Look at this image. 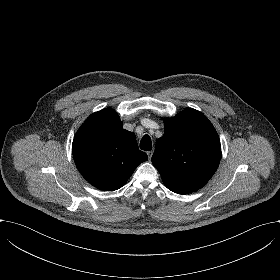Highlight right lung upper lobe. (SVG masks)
Wrapping results in <instances>:
<instances>
[{
	"instance_id": "1",
	"label": "right lung upper lobe",
	"mask_w": 280,
	"mask_h": 280,
	"mask_svg": "<svg viewBox=\"0 0 280 280\" xmlns=\"http://www.w3.org/2000/svg\"><path fill=\"white\" fill-rule=\"evenodd\" d=\"M72 153L82 176L106 191L125 185L136 167L147 160L135 134L123 129L120 117L110 108L85 120L74 137Z\"/></svg>"
}]
</instances>
